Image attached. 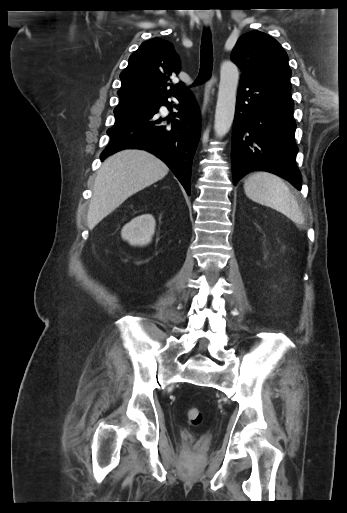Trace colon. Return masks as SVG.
Segmentation results:
<instances>
[{
    "label": "colon",
    "mask_w": 347,
    "mask_h": 513,
    "mask_svg": "<svg viewBox=\"0 0 347 513\" xmlns=\"http://www.w3.org/2000/svg\"><path fill=\"white\" fill-rule=\"evenodd\" d=\"M187 420L191 425H200L203 421L202 412L197 408H189L186 413Z\"/></svg>",
    "instance_id": "5ec220e1"
}]
</instances>
